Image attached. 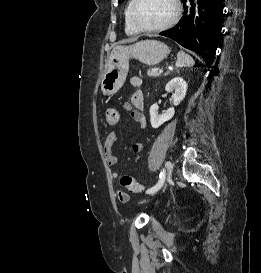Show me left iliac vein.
<instances>
[{
    "mask_svg": "<svg viewBox=\"0 0 261 273\" xmlns=\"http://www.w3.org/2000/svg\"><path fill=\"white\" fill-rule=\"evenodd\" d=\"M172 171H173V164H172L171 161H167L166 164H165V168H164V175H165L164 181H165V179H167V178H169L171 176Z\"/></svg>",
    "mask_w": 261,
    "mask_h": 273,
    "instance_id": "4c4485c4",
    "label": "left iliac vein"
}]
</instances>
